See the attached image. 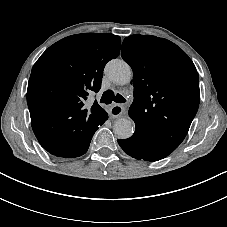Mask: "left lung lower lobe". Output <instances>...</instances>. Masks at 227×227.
<instances>
[{
	"mask_svg": "<svg viewBox=\"0 0 227 227\" xmlns=\"http://www.w3.org/2000/svg\"><path fill=\"white\" fill-rule=\"evenodd\" d=\"M118 143L124 152L138 160L157 161L163 159L172 152L154 142L147 135L137 131L128 139H119Z\"/></svg>",
	"mask_w": 227,
	"mask_h": 227,
	"instance_id": "obj_1",
	"label": "left lung lower lobe"
}]
</instances>
